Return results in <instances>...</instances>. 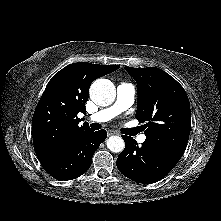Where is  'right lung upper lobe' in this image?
Returning a JSON list of instances; mask_svg holds the SVG:
<instances>
[{
    "instance_id": "1",
    "label": "right lung upper lobe",
    "mask_w": 221,
    "mask_h": 221,
    "mask_svg": "<svg viewBox=\"0 0 221 221\" xmlns=\"http://www.w3.org/2000/svg\"><path fill=\"white\" fill-rule=\"evenodd\" d=\"M119 65L87 62L70 64L57 72L47 84L32 119L34 150L39 160L58 152L89 130L79 126L78 113H86L85 103L91 83L114 72Z\"/></svg>"
}]
</instances>
